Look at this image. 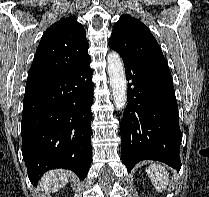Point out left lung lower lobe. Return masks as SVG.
Returning a JSON list of instances; mask_svg holds the SVG:
<instances>
[{
    "instance_id": "obj_1",
    "label": "left lung lower lobe",
    "mask_w": 209,
    "mask_h": 197,
    "mask_svg": "<svg viewBox=\"0 0 209 197\" xmlns=\"http://www.w3.org/2000/svg\"><path fill=\"white\" fill-rule=\"evenodd\" d=\"M128 104L120 124L121 158L130 172L142 160L181 168L178 106L170 71L123 58Z\"/></svg>"
}]
</instances>
